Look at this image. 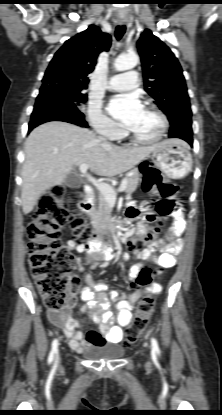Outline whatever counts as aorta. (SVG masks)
Segmentation results:
<instances>
[{
  "label": "aorta",
  "instance_id": "762f6f07",
  "mask_svg": "<svg viewBox=\"0 0 222 415\" xmlns=\"http://www.w3.org/2000/svg\"><path fill=\"white\" fill-rule=\"evenodd\" d=\"M139 62V57L136 54L120 55L114 62V67L117 71H125L134 68Z\"/></svg>",
  "mask_w": 222,
  "mask_h": 415
}]
</instances>
